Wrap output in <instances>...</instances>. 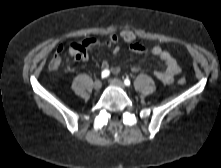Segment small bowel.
<instances>
[{"label": "small bowel", "mask_w": 221, "mask_h": 168, "mask_svg": "<svg viewBox=\"0 0 221 168\" xmlns=\"http://www.w3.org/2000/svg\"><path fill=\"white\" fill-rule=\"evenodd\" d=\"M119 37L117 34H112L109 39L108 43L111 45H115L113 48V53L118 54L120 51V47L116 45L119 41ZM92 44V43H90ZM129 45L130 51L137 53V54H143L147 52V47L143 44L132 42L127 43ZM85 44H78V43H72L69 45L70 51L72 50H81L84 47ZM150 52L152 55L158 57L162 62L165 64V69L163 71H155L154 75L155 77L161 81L164 84H171L174 81V78L176 75H178L181 72V68L175 58L166 50L162 49L160 46H154L150 49ZM76 60H82L87 61L88 55L85 51L81 52L76 58ZM101 67L104 70H111L113 74H118L120 72L119 66H114L110 68V64L108 61H103L101 64ZM132 71L136 72L139 71V68L134 67L132 68Z\"/></svg>", "instance_id": "obj_1"}]
</instances>
